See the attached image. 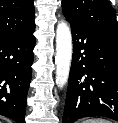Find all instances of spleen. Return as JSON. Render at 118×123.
<instances>
[{"mask_svg":"<svg viewBox=\"0 0 118 123\" xmlns=\"http://www.w3.org/2000/svg\"><path fill=\"white\" fill-rule=\"evenodd\" d=\"M83 123H110V122L102 118H91L83 121Z\"/></svg>","mask_w":118,"mask_h":123,"instance_id":"3e777b00","label":"spleen"}]
</instances>
